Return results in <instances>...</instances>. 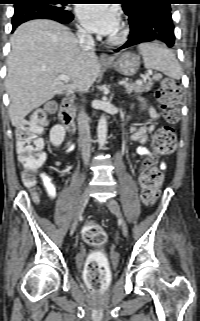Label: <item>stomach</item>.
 I'll return each instance as SVG.
<instances>
[{
    "instance_id": "obj_1",
    "label": "stomach",
    "mask_w": 200,
    "mask_h": 321,
    "mask_svg": "<svg viewBox=\"0 0 200 321\" xmlns=\"http://www.w3.org/2000/svg\"><path fill=\"white\" fill-rule=\"evenodd\" d=\"M140 63L139 55L133 52H124L116 55L110 63L104 65L113 68L122 75L133 76L139 70Z\"/></svg>"
}]
</instances>
